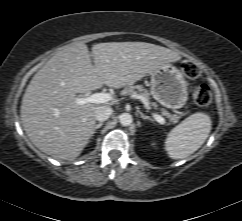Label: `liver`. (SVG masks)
<instances>
[{
    "instance_id": "6515ba94",
    "label": "liver",
    "mask_w": 242,
    "mask_h": 221,
    "mask_svg": "<svg viewBox=\"0 0 242 221\" xmlns=\"http://www.w3.org/2000/svg\"><path fill=\"white\" fill-rule=\"evenodd\" d=\"M61 48L33 76L21 105V120L30 141L57 160L73 161L89 142L95 110L109 103L79 105L77 94L103 85L121 88L161 66L179 61V53L145 42H107ZM100 104V103H99Z\"/></svg>"
}]
</instances>
